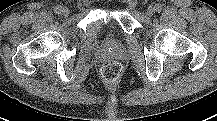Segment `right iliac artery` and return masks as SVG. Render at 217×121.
I'll list each match as a JSON object with an SVG mask.
<instances>
[{"label":"right iliac artery","instance_id":"obj_1","mask_svg":"<svg viewBox=\"0 0 217 121\" xmlns=\"http://www.w3.org/2000/svg\"><path fill=\"white\" fill-rule=\"evenodd\" d=\"M54 11L56 14H60L62 12V7L60 5H57L55 8H54Z\"/></svg>","mask_w":217,"mask_h":121}]
</instances>
